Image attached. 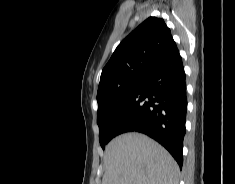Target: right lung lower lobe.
Returning a JSON list of instances; mask_svg holds the SVG:
<instances>
[{
  "mask_svg": "<svg viewBox=\"0 0 235 184\" xmlns=\"http://www.w3.org/2000/svg\"><path fill=\"white\" fill-rule=\"evenodd\" d=\"M186 75L179 51L152 69L113 127L114 134L141 132L164 146L183 164L186 133Z\"/></svg>",
  "mask_w": 235,
  "mask_h": 184,
  "instance_id": "1",
  "label": "right lung lower lobe"
}]
</instances>
